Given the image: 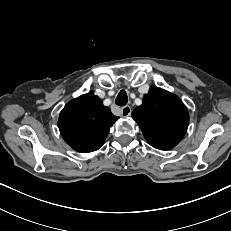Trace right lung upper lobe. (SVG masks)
Returning a JSON list of instances; mask_svg holds the SVG:
<instances>
[{"mask_svg":"<svg viewBox=\"0 0 231 231\" xmlns=\"http://www.w3.org/2000/svg\"><path fill=\"white\" fill-rule=\"evenodd\" d=\"M117 119L91 91L66 104L59 115L58 127L71 148L88 153L103 145Z\"/></svg>","mask_w":231,"mask_h":231,"instance_id":"cb5924a9","label":"right lung upper lobe"}]
</instances>
